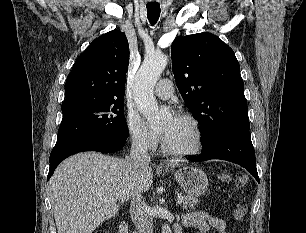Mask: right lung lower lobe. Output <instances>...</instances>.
I'll list each match as a JSON object with an SVG mask.
<instances>
[{"label": "right lung lower lobe", "instance_id": "right-lung-lower-lobe-1", "mask_svg": "<svg viewBox=\"0 0 306 233\" xmlns=\"http://www.w3.org/2000/svg\"><path fill=\"white\" fill-rule=\"evenodd\" d=\"M126 139L127 138L85 136L55 146L50 154V169L47 179H50L55 168L68 156L83 151H99L106 153L116 152L124 147Z\"/></svg>", "mask_w": 306, "mask_h": 233}]
</instances>
